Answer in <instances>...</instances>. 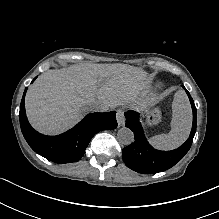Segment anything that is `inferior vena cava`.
Masks as SVG:
<instances>
[{"label":"inferior vena cava","instance_id":"1","mask_svg":"<svg viewBox=\"0 0 219 219\" xmlns=\"http://www.w3.org/2000/svg\"><path fill=\"white\" fill-rule=\"evenodd\" d=\"M91 112H107L110 106L106 103L94 102L89 106Z\"/></svg>","mask_w":219,"mask_h":219}]
</instances>
